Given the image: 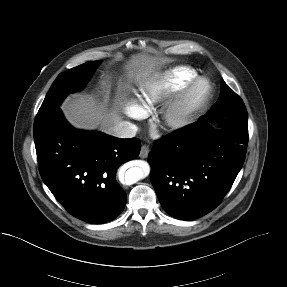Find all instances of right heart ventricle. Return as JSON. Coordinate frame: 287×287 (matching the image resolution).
Wrapping results in <instances>:
<instances>
[{"instance_id":"right-heart-ventricle-1","label":"right heart ventricle","mask_w":287,"mask_h":287,"mask_svg":"<svg viewBox=\"0 0 287 287\" xmlns=\"http://www.w3.org/2000/svg\"><path fill=\"white\" fill-rule=\"evenodd\" d=\"M196 76L195 70L178 66L167 70L156 79L142 84L137 89L140 111H151L156 105L167 100Z\"/></svg>"}]
</instances>
